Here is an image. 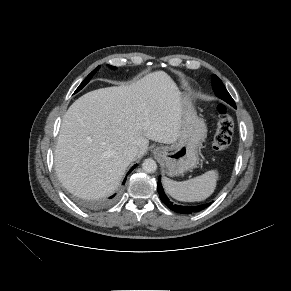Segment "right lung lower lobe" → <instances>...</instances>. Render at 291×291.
Listing matches in <instances>:
<instances>
[{
	"mask_svg": "<svg viewBox=\"0 0 291 291\" xmlns=\"http://www.w3.org/2000/svg\"><path fill=\"white\" fill-rule=\"evenodd\" d=\"M137 165H134L130 170H129V172H128V174L136 167ZM125 180H126V178H125ZM125 180H124V182H123V184L125 183ZM115 195H113V196H111V197H109V199H111V198H113Z\"/></svg>",
	"mask_w": 291,
	"mask_h": 291,
	"instance_id": "obj_1",
	"label": "right lung lower lobe"
}]
</instances>
